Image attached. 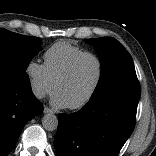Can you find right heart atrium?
Instances as JSON below:
<instances>
[{"instance_id":"d8ad5b80","label":"right heart atrium","mask_w":156,"mask_h":156,"mask_svg":"<svg viewBox=\"0 0 156 156\" xmlns=\"http://www.w3.org/2000/svg\"><path fill=\"white\" fill-rule=\"evenodd\" d=\"M25 74L33 95L39 99L50 94L54 89V81L50 78L43 63L30 60L25 67Z\"/></svg>"}]
</instances>
